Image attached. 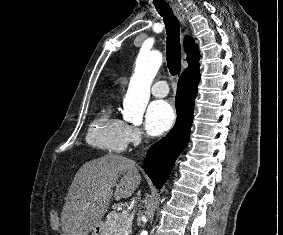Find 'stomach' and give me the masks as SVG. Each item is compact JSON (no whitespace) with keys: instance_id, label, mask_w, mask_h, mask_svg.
I'll return each instance as SVG.
<instances>
[{"instance_id":"obj_1","label":"stomach","mask_w":283,"mask_h":235,"mask_svg":"<svg viewBox=\"0 0 283 235\" xmlns=\"http://www.w3.org/2000/svg\"><path fill=\"white\" fill-rule=\"evenodd\" d=\"M91 235H109L106 224L103 221H99L91 229Z\"/></svg>"}]
</instances>
